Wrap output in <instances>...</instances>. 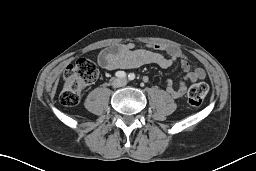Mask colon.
Wrapping results in <instances>:
<instances>
[{"mask_svg": "<svg viewBox=\"0 0 256 171\" xmlns=\"http://www.w3.org/2000/svg\"><path fill=\"white\" fill-rule=\"evenodd\" d=\"M97 76L98 68L91 60L82 58L69 65L64 72V81L60 93L61 103L66 106L78 104L82 89L92 84ZM208 91L209 86L204 82L193 84L187 93L189 104L193 107L201 105Z\"/></svg>", "mask_w": 256, "mask_h": 171, "instance_id": "5ec220e1", "label": "colon"}]
</instances>
